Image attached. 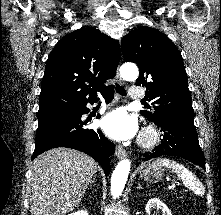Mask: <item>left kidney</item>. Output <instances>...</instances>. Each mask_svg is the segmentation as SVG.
<instances>
[{"label":"left kidney","mask_w":221,"mask_h":215,"mask_svg":"<svg viewBox=\"0 0 221 215\" xmlns=\"http://www.w3.org/2000/svg\"><path fill=\"white\" fill-rule=\"evenodd\" d=\"M160 209L163 212V215H172L169 208L158 198L150 199L145 207V211L150 215L151 210Z\"/></svg>","instance_id":"left-kidney-1"}]
</instances>
